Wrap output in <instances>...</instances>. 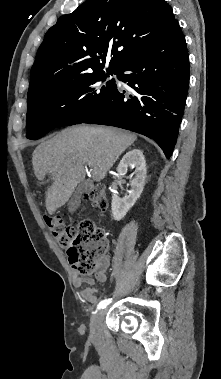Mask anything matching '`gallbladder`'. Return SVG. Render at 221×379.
Returning <instances> with one entry per match:
<instances>
[{
  "mask_svg": "<svg viewBox=\"0 0 221 379\" xmlns=\"http://www.w3.org/2000/svg\"><path fill=\"white\" fill-rule=\"evenodd\" d=\"M88 190H89L88 181H84L78 185V187L76 188V190L74 191L72 197L70 198L68 202L69 212L72 213L79 207L81 203L82 194H84L85 192H88Z\"/></svg>",
  "mask_w": 221,
  "mask_h": 379,
  "instance_id": "bac80fb5",
  "label": "gallbladder"
}]
</instances>
